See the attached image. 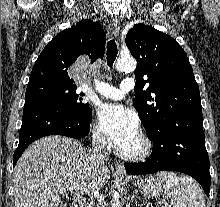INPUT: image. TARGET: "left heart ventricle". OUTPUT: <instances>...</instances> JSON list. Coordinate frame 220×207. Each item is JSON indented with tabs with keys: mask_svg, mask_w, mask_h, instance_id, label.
Instances as JSON below:
<instances>
[{
	"mask_svg": "<svg viewBox=\"0 0 220 207\" xmlns=\"http://www.w3.org/2000/svg\"><path fill=\"white\" fill-rule=\"evenodd\" d=\"M142 149V142L138 134L129 142L120 147V150L124 153L133 154Z\"/></svg>",
	"mask_w": 220,
	"mask_h": 207,
	"instance_id": "b2bd125f",
	"label": "left heart ventricle"
}]
</instances>
